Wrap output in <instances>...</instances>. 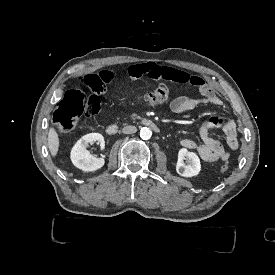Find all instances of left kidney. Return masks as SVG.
<instances>
[{"label":"left kidney","instance_id":"left-kidney-1","mask_svg":"<svg viewBox=\"0 0 275 275\" xmlns=\"http://www.w3.org/2000/svg\"><path fill=\"white\" fill-rule=\"evenodd\" d=\"M187 160V164L184 160ZM201 170V164L199 157L189 152L186 148H182L178 152V161L176 164V171L183 177H193L199 174Z\"/></svg>","mask_w":275,"mask_h":275}]
</instances>
